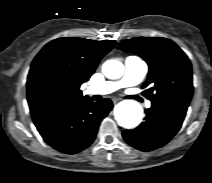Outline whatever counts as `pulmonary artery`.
I'll return each mask as SVG.
<instances>
[{
    "mask_svg": "<svg viewBox=\"0 0 212 183\" xmlns=\"http://www.w3.org/2000/svg\"><path fill=\"white\" fill-rule=\"evenodd\" d=\"M148 72L147 64L140 58L130 56L125 60L123 76L117 81H106L88 88L90 94H109L120 88L139 84ZM151 106L150 102L146 103Z\"/></svg>",
    "mask_w": 212,
    "mask_h": 183,
    "instance_id": "1",
    "label": "pulmonary artery"
}]
</instances>
